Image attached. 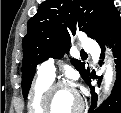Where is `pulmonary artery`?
<instances>
[{
  "label": "pulmonary artery",
  "mask_w": 121,
  "mask_h": 113,
  "mask_svg": "<svg viewBox=\"0 0 121 113\" xmlns=\"http://www.w3.org/2000/svg\"><path fill=\"white\" fill-rule=\"evenodd\" d=\"M83 47L87 51L93 52L95 54H97L99 51L95 41L89 38L85 39V41L83 42ZM39 73L43 76L54 79L56 76L55 63L51 60L43 62L39 66Z\"/></svg>",
  "instance_id": "1"
}]
</instances>
